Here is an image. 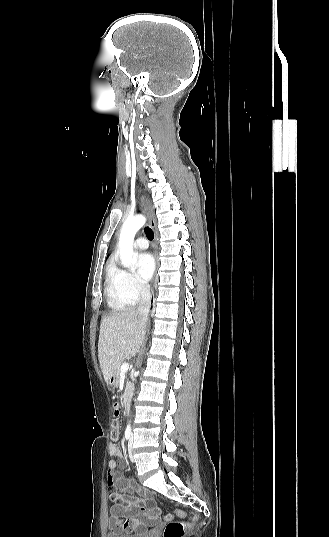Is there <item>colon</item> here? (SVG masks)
Returning <instances> with one entry per match:
<instances>
[{"label":"colon","mask_w":329,"mask_h":537,"mask_svg":"<svg viewBox=\"0 0 329 537\" xmlns=\"http://www.w3.org/2000/svg\"><path fill=\"white\" fill-rule=\"evenodd\" d=\"M111 438L113 440H118L120 438V426L117 421L113 422ZM184 515L185 514L182 510H176L173 514H166L164 516L165 520L167 521V525L165 527L163 537H184L189 529L190 524L182 520H175V518L182 519ZM192 516L193 518L198 519L200 518L201 513L200 511L195 510L193 511Z\"/></svg>","instance_id":"obj_1"}]
</instances>
